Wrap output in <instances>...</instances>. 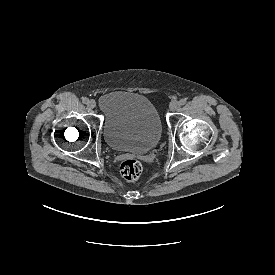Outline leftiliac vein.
Here are the masks:
<instances>
[{
	"instance_id": "obj_1",
	"label": "left iliac vein",
	"mask_w": 275,
	"mask_h": 275,
	"mask_svg": "<svg viewBox=\"0 0 275 275\" xmlns=\"http://www.w3.org/2000/svg\"><path fill=\"white\" fill-rule=\"evenodd\" d=\"M179 107H180V104L178 101H172L169 106L171 111H177Z\"/></svg>"
}]
</instances>
